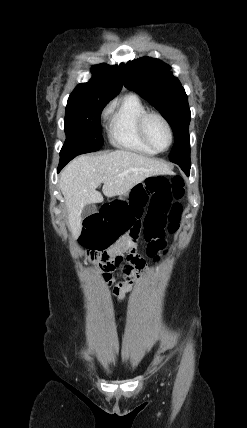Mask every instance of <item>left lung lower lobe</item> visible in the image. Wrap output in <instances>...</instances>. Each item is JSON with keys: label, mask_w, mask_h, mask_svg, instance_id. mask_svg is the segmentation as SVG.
<instances>
[{"label": "left lung lower lobe", "mask_w": 247, "mask_h": 428, "mask_svg": "<svg viewBox=\"0 0 247 428\" xmlns=\"http://www.w3.org/2000/svg\"><path fill=\"white\" fill-rule=\"evenodd\" d=\"M181 169L186 173L187 176H189V169L191 167V163H185V162H177Z\"/></svg>", "instance_id": "obj_1"}]
</instances>
